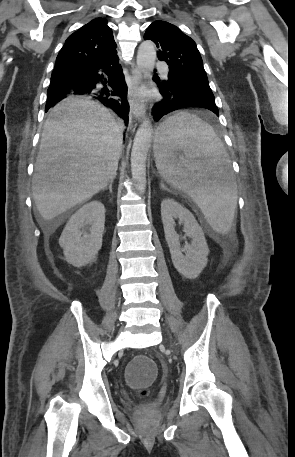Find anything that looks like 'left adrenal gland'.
<instances>
[{"label":"left adrenal gland","mask_w":295,"mask_h":457,"mask_svg":"<svg viewBox=\"0 0 295 457\" xmlns=\"http://www.w3.org/2000/svg\"><path fill=\"white\" fill-rule=\"evenodd\" d=\"M160 189L169 192V189L164 185L163 181L160 183Z\"/></svg>","instance_id":"left-adrenal-gland-1"}]
</instances>
